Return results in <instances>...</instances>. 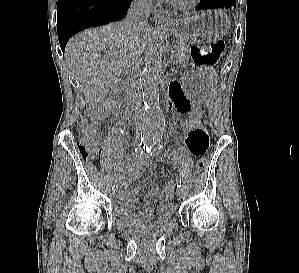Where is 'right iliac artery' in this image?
Listing matches in <instances>:
<instances>
[{
	"instance_id": "right-iliac-artery-1",
	"label": "right iliac artery",
	"mask_w": 299,
	"mask_h": 273,
	"mask_svg": "<svg viewBox=\"0 0 299 273\" xmlns=\"http://www.w3.org/2000/svg\"><path fill=\"white\" fill-rule=\"evenodd\" d=\"M147 142H140V144L138 145L137 148H135L134 152L132 153L133 156H138L141 155L143 153V151L145 150L146 146H147ZM115 186L112 187V189H114Z\"/></svg>"
}]
</instances>
